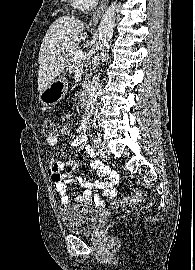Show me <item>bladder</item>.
Returning <instances> with one entry per match:
<instances>
[{"mask_svg":"<svg viewBox=\"0 0 195 270\" xmlns=\"http://www.w3.org/2000/svg\"><path fill=\"white\" fill-rule=\"evenodd\" d=\"M99 211L88 204L67 205L59 209L64 229L75 234L91 233L99 219Z\"/></svg>","mask_w":195,"mask_h":270,"instance_id":"31cf9c89","label":"bladder"}]
</instances>
